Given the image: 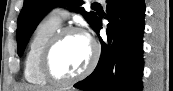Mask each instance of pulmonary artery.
I'll return each instance as SVG.
<instances>
[{"label":"pulmonary artery","mask_w":173,"mask_h":91,"mask_svg":"<svg viewBox=\"0 0 173 91\" xmlns=\"http://www.w3.org/2000/svg\"><path fill=\"white\" fill-rule=\"evenodd\" d=\"M54 16L59 20L62 21L68 16V12L62 8H55L54 9Z\"/></svg>","instance_id":"obj_1"}]
</instances>
